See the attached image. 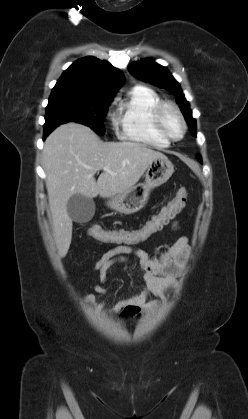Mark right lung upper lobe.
<instances>
[{"instance_id": "1", "label": "right lung upper lobe", "mask_w": 248, "mask_h": 419, "mask_svg": "<svg viewBox=\"0 0 248 419\" xmlns=\"http://www.w3.org/2000/svg\"><path fill=\"white\" fill-rule=\"evenodd\" d=\"M124 79L123 73L110 63L88 56L74 62L62 74L53 90L114 95Z\"/></svg>"}]
</instances>
